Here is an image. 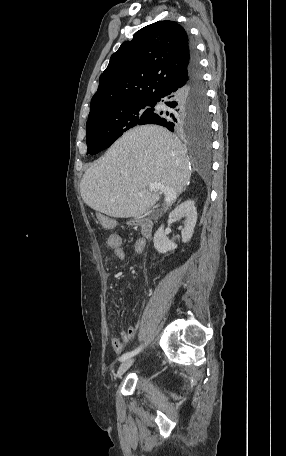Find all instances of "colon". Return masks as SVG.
<instances>
[{"label":"colon","mask_w":286,"mask_h":456,"mask_svg":"<svg viewBox=\"0 0 286 456\" xmlns=\"http://www.w3.org/2000/svg\"><path fill=\"white\" fill-rule=\"evenodd\" d=\"M110 242H111V243H115V242H116V238H115L114 236H112V237L110 238Z\"/></svg>","instance_id":"5ec220e1"}]
</instances>
